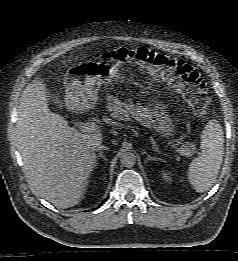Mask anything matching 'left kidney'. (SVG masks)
I'll return each mask as SVG.
<instances>
[{
    "instance_id": "5707ae66",
    "label": "left kidney",
    "mask_w": 238,
    "mask_h": 261,
    "mask_svg": "<svg viewBox=\"0 0 238 261\" xmlns=\"http://www.w3.org/2000/svg\"><path fill=\"white\" fill-rule=\"evenodd\" d=\"M161 176H162V179L166 182H170L172 181V178H171V173L170 172H166L164 170L161 171Z\"/></svg>"
}]
</instances>
